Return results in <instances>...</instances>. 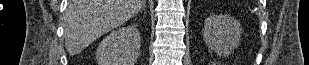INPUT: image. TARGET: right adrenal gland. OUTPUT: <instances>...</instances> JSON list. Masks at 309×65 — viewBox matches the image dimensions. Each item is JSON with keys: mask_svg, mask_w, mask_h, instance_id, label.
Instances as JSON below:
<instances>
[{"mask_svg": "<svg viewBox=\"0 0 309 65\" xmlns=\"http://www.w3.org/2000/svg\"><path fill=\"white\" fill-rule=\"evenodd\" d=\"M143 10H144V13H146V7L145 6L143 7Z\"/></svg>", "mask_w": 309, "mask_h": 65, "instance_id": "1", "label": "right adrenal gland"}]
</instances>
